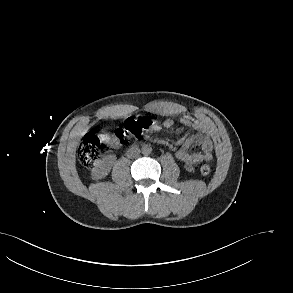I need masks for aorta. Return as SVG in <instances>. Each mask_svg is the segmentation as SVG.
<instances>
[{
	"label": "aorta",
	"mask_w": 293,
	"mask_h": 293,
	"mask_svg": "<svg viewBox=\"0 0 293 293\" xmlns=\"http://www.w3.org/2000/svg\"><path fill=\"white\" fill-rule=\"evenodd\" d=\"M151 152H152V148H151V146L150 145H143L142 146V153L144 154V155H149V154H151Z\"/></svg>",
	"instance_id": "aorta-1"
}]
</instances>
